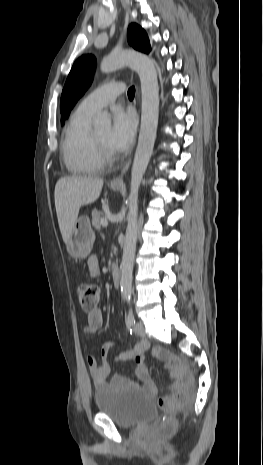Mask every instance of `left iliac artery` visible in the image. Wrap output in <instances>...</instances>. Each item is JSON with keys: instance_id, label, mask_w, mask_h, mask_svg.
Instances as JSON below:
<instances>
[{"instance_id": "left-iliac-artery-1", "label": "left iliac artery", "mask_w": 263, "mask_h": 465, "mask_svg": "<svg viewBox=\"0 0 263 465\" xmlns=\"http://www.w3.org/2000/svg\"><path fill=\"white\" fill-rule=\"evenodd\" d=\"M127 323L129 326H133L135 324V318H134V314H133L131 307L129 308V312L127 316Z\"/></svg>"}]
</instances>
